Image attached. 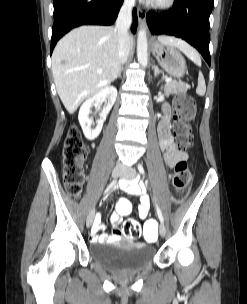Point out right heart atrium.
I'll list each match as a JSON object with an SVG mask.
<instances>
[{
  "label": "right heart atrium",
  "instance_id": "obj_1",
  "mask_svg": "<svg viewBox=\"0 0 247 304\" xmlns=\"http://www.w3.org/2000/svg\"><path fill=\"white\" fill-rule=\"evenodd\" d=\"M126 3L131 4L133 3V0H125Z\"/></svg>",
  "mask_w": 247,
  "mask_h": 304
}]
</instances>
